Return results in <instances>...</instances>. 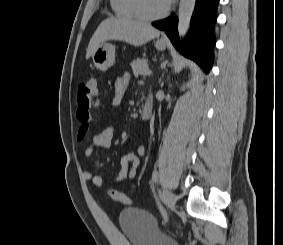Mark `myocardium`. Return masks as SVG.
<instances>
[{"label": "myocardium", "mask_w": 283, "mask_h": 245, "mask_svg": "<svg viewBox=\"0 0 283 245\" xmlns=\"http://www.w3.org/2000/svg\"><path fill=\"white\" fill-rule=\"evenodd\" d=\"M133 4H134V9L137 15L139 16V18L146 20V21H155V20L164 18L169 13L172 2L169 1L166 7L164 8V10L158 14L146 13L142 7V0H133Z\"/></svg>", "instance_id": "f54148a6"}]
</instances>
